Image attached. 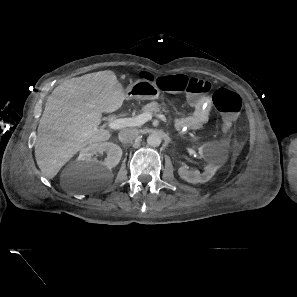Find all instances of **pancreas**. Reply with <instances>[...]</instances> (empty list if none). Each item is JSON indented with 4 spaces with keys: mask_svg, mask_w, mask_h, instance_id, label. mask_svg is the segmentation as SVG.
I'll return each instance as SVG.
<instances>
[{
    "mask_svg": "<svg viewBox=\"0 0 297 297\" xmlns=\"http://www.w3.org/2000/svg\"><path fill=\"white\" fill-rule=\"evenodd\" d=\"M142 111L144 113H150V114H156L159 112H164L165 114H168L170 111L167 109V107L162 106L160 104H158L157 102L153 101L147 105H145L142 108Z\"/></svg>",
    "mask_w": 297,
    "mask_h": 297,
    "instance_id": "pancreas-1",
    "label": "pancreas"
}]
</instances>
